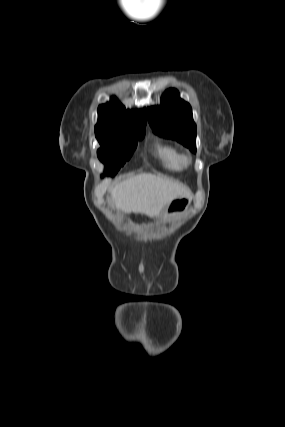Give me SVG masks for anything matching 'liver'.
Here are the masks:
<instances>
[{"mask_svg": "<svg viewBox=\"0 0 285 427\" xmlns=\"http://www.w3.org/2000/svg\"><path fill=\"white\" fill-rule=\"evenodd\" d=\"M117 209L155 217L176 198H191L185 185L171 179L142 173L131 176L110 190Z\"/></svg>", "mask_w": 285, "mask_h": 427, "instance_id": "6515ba94", "label": "liver"}]
</instances>
